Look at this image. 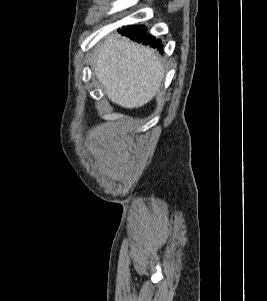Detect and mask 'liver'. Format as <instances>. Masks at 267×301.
Wrapping results in <instances>:
<instances>
[{
    "mask_svg": "<svg viewBox=\"0 0 267 301\" xmlns=\"http://www.w3.org/2000/svg\"><path fill=\"white\" fill-rule=\"evenodd\" d=\"M93 67L108 98L130 109L156 96L165 73L153 49L117 36L108 37L96 47Z\"/></svg>",
    "mask_w": 267,
    "mask_h": 301,
    "instance_id": "1",
    "label": "liver"
}]
</instances>
